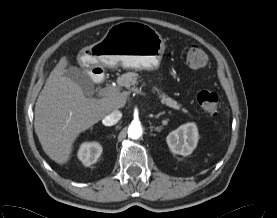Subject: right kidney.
<instances>
[{
    "mask_svg": "<svg viewBox=\"0 0 277 218\" xmlns=\"http://www.w3.org/2000/svg\"><path fill=\"white\" fill-rule=\"evenodd\" d=\"M102 153V146L98 142H84L78 150V158L85 166L97 162Z\"/></svg>",
    "mask_w": 277,
    "mask_h": 218,
    "instance_id": "1",
    "label": "right kidney"
}]
</instances>
